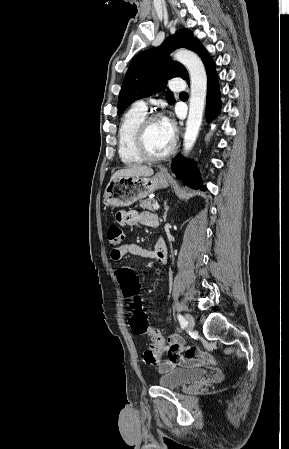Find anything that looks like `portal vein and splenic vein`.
Segmentation results:
<instances>
[{
    "instance_id": "obj_1",
    "label": "portal vein and splenic vein",
    "mask_w": 289,
    "mask_h": 449,
    "mask_svg": "<svg viewBox=\"0 0 289 449\" xmlns=\"http://www.w3.org/2000/svg\"><path fill=\"white\" fill-rule=\"evenodd\" d=\"M159 208H160V206H159V204H157V203L153 206V209H154V210H158Z\"/></svg>"
}]
</instances>
